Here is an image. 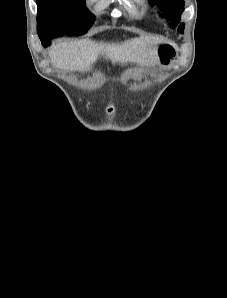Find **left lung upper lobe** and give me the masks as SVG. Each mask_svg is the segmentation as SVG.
<instances>
[{
	"label": "left lung upper lobe",
	"instance_id": "obj_1",
	"mask_svg": "<svg viewBox=\"0 0 227 298\" xmlns=\"http://www.w3.org/2000/svg\"><path fill=\"white\" fill-rule=\"evenodd\" d=\"M151 4H157L158 7L163 11V16L168 19L171 23V27L178 24L181 13L184 10V0H148ZM178 31L183 33L184 24L181 23L178 26Z\"/></svg>",
	"mask_w": 227,
	"mask_h": 298
}]
</instances>
